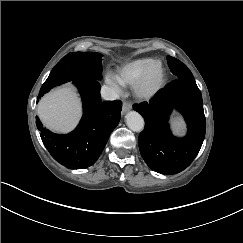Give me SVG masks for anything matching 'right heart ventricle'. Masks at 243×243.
I'll return each mask as SVG.
<instances>
[{
	"mask_svg": "<svg viewBox=\"0 0 243 243\" xmlns=\"http://www.w3.org/2000/svg\"><path fill=\"white\" fill-rule=\"evenodd\" d=\"M161 62L156 57H139L126 60L120 63L115 70V73L123 87L134 88L139 82L146 70Z\"/></svg>",
	"mask_w": 243,
	"mask_h": 243,
	"instance_id": "1",
	"label": "right heart ventricle"
}]
</instances>
